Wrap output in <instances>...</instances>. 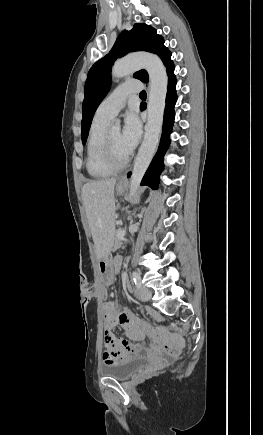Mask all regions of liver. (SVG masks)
I'll list each match as a JSON object with an SVG mask.
<instances>
[{
	"mask_svg": "<svg viewBox=\"0 0 263 435\" xmlns=\"http://www.w3.org/2000/svg\"><path fill=\"white\" fill-rule=\"evenodd\" d=\"M116 178L91 181L82 188V200L98 259L109 253L115 231Z\"/></svg>",
	"mask_w": 263,
	"mask_h": 435,
	"instance_id": "liver-1",
	"label": "liver"
}]
</instances>
